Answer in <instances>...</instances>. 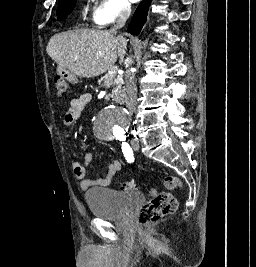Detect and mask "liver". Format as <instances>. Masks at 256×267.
Returning a JSON list of instances; mask_svg holds the SVG:
<instances>
[{
	"mask_svg": "<svg viewBox=\"0 0 256 267\" xmlns=\"http://www.w3.org/2000/svg\"><path fill=\"white\" fill-rule=\"evenodd\" d=\"M127 42L116 38L111 30H69L50 38L46 52L60 68L80 78H95L105 74L119 56L123 64Z\"/></svg>",
	"mask_w": 256,
	"mask_h": 267,
	"instance_id": "1",
	"label": "liver"
}]
</instances>
